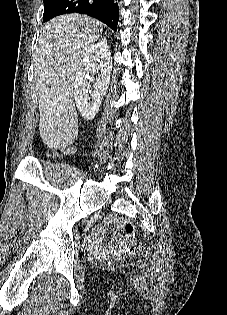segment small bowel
<instances>
[{
    "mask_svg": "<svg viewBox=\"0 0 227 315\" xmlns=\"http://www.w3.org/2000/svg\"><path fill=\"white\" fill-rule=\"evenodd\" d=\"M104 232H105L104 227H99L97 230V233L99 235L103 234ZM120 243L121 242L118 239H113L112 241H110L108 243H103L101 241H98V246L104 250H107V251H116L117 248H119Z\"/></svg>",
    "mask_w": 227,
    "mask_h": 315,
    "instance_id": "obj_1",
    "label": "small bowel"
}]
</instances>
